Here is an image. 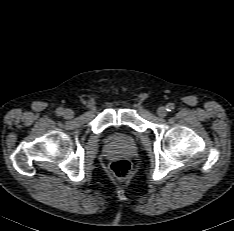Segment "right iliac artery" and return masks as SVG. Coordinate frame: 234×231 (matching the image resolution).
<instances>
[{"label":"right iliac artery","mask_w":234,"mask_h":231,"mask_svg":"<svg viewBox=\"0 0 234 231\" xmlns=\"http://www.w3.org/2000/svg\"><path fill=\"white\" fill-rule=\"evenodd\" d=\"M58 112H59V113H61V112H62V110H58Z\"/></svg>","instance_id":"right-iliac-artery-1"}]
</instances>
